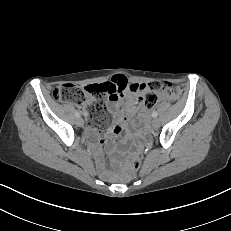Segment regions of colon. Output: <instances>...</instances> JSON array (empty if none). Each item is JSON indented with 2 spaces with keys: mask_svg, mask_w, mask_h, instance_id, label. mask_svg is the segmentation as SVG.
I'll return each instance as SVG.
<instances>
[{
  "mask_svg": "<svg viewBox=\"0 0 231 231\" xmlns=\"http://www.w3.org/2000/svg\"><path fill=\"white\" fill-rule=\"evenodd\" d=\"M149 92L144 97V105L153 107L158 101V94L164 93L170 97L178 92V88L168 81H157L148 85ZM107 87L102 84H92L86 88H81L75 84H62L55 87L52 96L57 102H73L76 104L85 103V111L90 118L91 124L96 127L107 125L111 119V115L106 109L102 97L106 96ZM84 98L86 100L84 101ZM142 162V154L140 151L134 152L130 161V170L136 173Z\"/></svg>",
  "mask_w": 231,
  "mask_h": 231,
  "instance_id": "obj_1",
  "label": "colon"
}]
</instances>
